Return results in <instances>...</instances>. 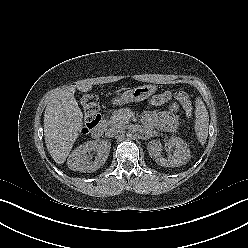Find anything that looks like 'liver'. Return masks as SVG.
Listing matches in <instances>:
<instances>
[{
    "mask_svg": "<svg viewBox=\"0 0 248 248\" xmlns=\"http://www.w3.org/2000/svg\"><path fill=\"white\" fill-rule=\"evenodd\" d=\"M77 88L87 92L92 86L80 82ZM74 92V86L60 90L45 109V143L49 154L57 164L65 162L83 125V114Z\"/></svg>",
    "mask_w": 248,
    "mask_h": 248,
    "instance_id": "liver-1",
    "label": "liver"
}]
</instances>
